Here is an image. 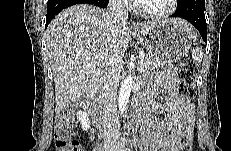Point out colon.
Segmentation results:
<instances>
[{
  "label": "colon",
  "instance_id": "5ec220e1",
  "mask_svg": "<svg viewBox=\"0 0 231 151\" xmlns=\"http://www.w3.org/2000/svg\"><path fill=\"white\" fill-rule=\"evenodd\" d=\"M197 66L194 62L187 60L181 64L179 70L178 94L190 103L196 95L195 79ZM72 112L65 110L60 112L55 121L54 136L57 151H84L81 146L70 137ZM180 151H192L191 140H184Z\"/></svg>",
  "mask_w": 231,
  "mask_h": 151
}]
</instances>
